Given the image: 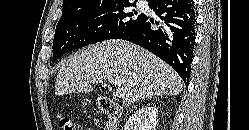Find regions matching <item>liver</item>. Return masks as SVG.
I'll use <instances>...</instances> for the list:
<instances>
[{
  "instance_id": "obj_1",
  "label": "liver",
  "mask_w": 249,
  "mask_h": 130,
  "mask_svg": "<svg viewBox=\"0 0 249 130\" xmlns=\"http://www.w3.org/2000/svg\"><path fill=\"white\" fill-rule=\"evenodd\" d=\"M124 88L125 107L144 98L177 95L183 83L175 70L147 50L124 40L90 45L62 61L55 94L92 92L90 80Z\"/></svg>"
}]
</instances>
